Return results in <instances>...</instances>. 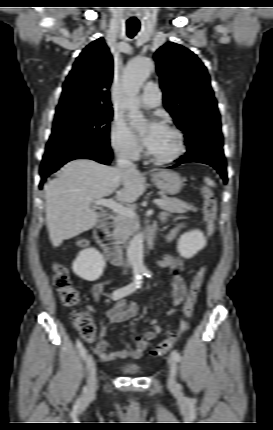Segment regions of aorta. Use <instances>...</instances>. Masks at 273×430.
<instances>
[{
    "label": "aorta",
    "instance_id": "762f6f07",
    "mask_svg": "<svg viewBox=\"0 0 273 430\" xmlns=\"http://www.w3.org/2000/svg\"><path fill=\"white\" fill-rule=\"evenodd\" d=\"M153 61L150 58L142 57L131 60L127 67L123 78V91L126 96V105L128 108V116L137 123H142L144 116L139 110L137 104V95L142 84L149 77L153 69ZM127 257L134 273H143L146 271L144 265L143 252V234H136L130 241L127 248Z\"/></svg>",
    "mask_w": 273,
    "mask_h": 430
}]
</instances>
